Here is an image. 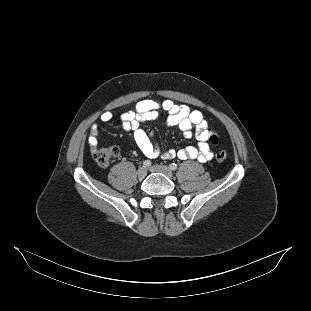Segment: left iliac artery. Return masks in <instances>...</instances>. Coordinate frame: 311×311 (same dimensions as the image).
Masks as SVG:
<instances>
[{"instance_id":"44dca946","label":"left iliac artery","mask_w":311,"mask_h":311,"mask_svg":"<svg viewBox=\"0 0 311 311\" xmlns=\"http://www.w3.org/2000/svg\"><path fill=\"white\" fill-rule=\"evenodd\" d=\"M169 168H170L171 170H176V169H177V165H176L175 163H171V164L169 165Z\"/></svg>"}]
</instances>
